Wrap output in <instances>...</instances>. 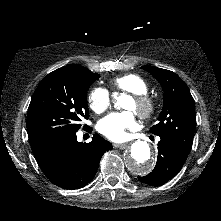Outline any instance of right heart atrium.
Listing matches in <instances>:
<instances>
[{
    "label": "right heart atrium",
    "mask_w": 221,
    "mask_h": 221,
    "mask_svg": "<svg viewBox=\"0 0 221 221\" xmlns=\"http://www.w3.org/2000/svg\"><path fill=\"white\" fill-rule=\"evenodd\" d=\"M88 104L93 112L97 114L103 113L111 104V95L106 88L95 87L88 95Z\"/></svg>",
    "instance_id": "right-heart-atrium-1"
}]
</instances>
